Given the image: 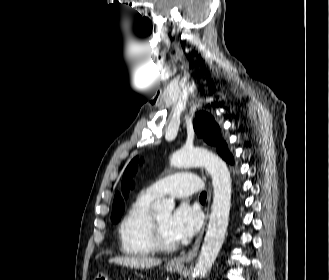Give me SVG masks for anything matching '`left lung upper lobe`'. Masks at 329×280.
Here are the masks:
<instances>
[{
	"mask_svg": "<svg viewBox=\"0 0 329 280\" xmlns=\"http://www.w3.org/2000/svg\"><path fill=\"white\" fill-rule=\"evenodd\" d=\"M194 130L196 133L203 137V139L212 145L217 146V152L221 155L223 159L227 162H230L232 158L231 154L228 153L227 145L221 138V132L219 126L215 122L212 115L209 113L200 111L196 113L195 119L193 121ZM138 168V157L134 158L128 167L126 168L123 180L121 183L122 192H117L114 197L112 216L111 220L114 223H117L124 211L125 205L123 197L127 198L129 193V187H133V183L130 182V179L135 175Z\"/></svg>",
	"mask_w": 329,
	"mask_h": 280,
	"instance_id": "obj_1",
	"label": "left lung upper lobe"
}]
</instances>
